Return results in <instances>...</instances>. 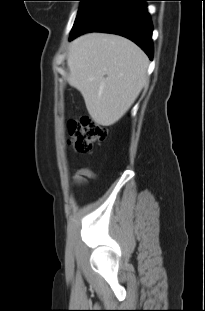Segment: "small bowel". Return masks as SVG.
<instances>
[{
  "instance_id": "c3829d8e",
  "label": "small bowel",
  "mask_w": 205,
  "mask_h": 311,
  "mask_svg": "<svg viewBox=\"0 0 205 311\" xmlns=\"http://www.w3.org/2000/svg\"><path fill=\"white\" fill-rule=\"evenodd\" d=\"M97 178V174L90 168L81 167L73 175V183L77 187L87 185L89 180Z\"/></svg>"
}]
</instances>
